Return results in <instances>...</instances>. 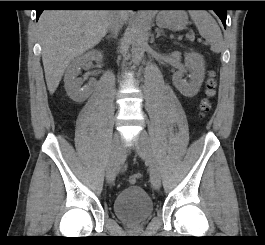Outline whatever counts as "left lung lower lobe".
<instances>
[{
  "mask_svg": "<svg viewBox=\"0 0 265 245\" xmlns=\"http://www.w3.org/2000/svg\"><path fill=\"white\" fill-rule=\"evenodd\" d=\"M200 1H166L164 4L169 6H197L199 5ZM214 12L219 16L223 25L226 27V17H227V10L226 9H216Z\"/></svg>",
  "mask_w": 265,
  "mask_h": 245,
  "instance_id": "1",
  "label": "left lung lower lobe"
}]
</instances>
